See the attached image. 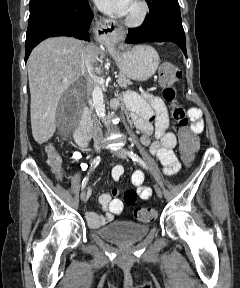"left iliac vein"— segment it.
Segmentation results:
<instances>
[{
    "label": "left iliac vein",
    "mask_w": 240,
    "mask_h": 288,
    "mask_svg": "<svg viewBox=\"0 0 240 288\" xmlns=\"http://www.w3.org/2000/svg\"><path fill=\"white\" fill-rule=\"evenodd\" d=\"M115 156L119 157V158H122V159H126L127 158V153L125 150L123 149H119V150H115V151H111ZM155 191H156V194L159 198H162V191L161 189L155 185Z\"/></svg>",
    "instance_id": "4c4485c4"
}]
</instances>
